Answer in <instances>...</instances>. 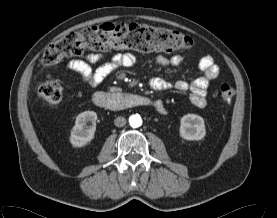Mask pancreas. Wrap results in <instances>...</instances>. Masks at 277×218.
Listing matches in <instances>:
<instances>
[{"mask_svg":"<svg viewBox=\"0 0 277 218\" xmlns=\"http://www.w3.org/2000/svg\"><path fill=\"white\" fill-rule=\"evenodd\" d=\"M110 91H111L112 93H119V92H120V88L111 87V88H110Z\"/></svg>","mask_w":277,"mask_h":218,"instance_id":"pancreas-1","label":"pancreas"}]
</instances>
